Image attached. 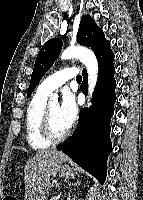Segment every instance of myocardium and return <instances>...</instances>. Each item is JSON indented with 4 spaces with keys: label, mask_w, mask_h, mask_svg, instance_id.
Listing matches in <instances>:
<instances>
[{
    "label": "myocardium",
    "mask_w": 143,
    "mask_h": 200,
    "mask_svg": "<svg viewBox=\"0 0 143 200\" xmlns=\"http://www.w3.org/2000/svg\"><path fill=\"white\" fill-rule=\"evenodd\" d=\"M70 127L61 135H56L52 128H51V121H50V110L49 106H46L42 118H41V123H40V133L42 137L50 142L51 144L53 143H59L64 141L70 134Z\"/></svg>",
    "instance_id": "obj_1"
}]
</instances>
